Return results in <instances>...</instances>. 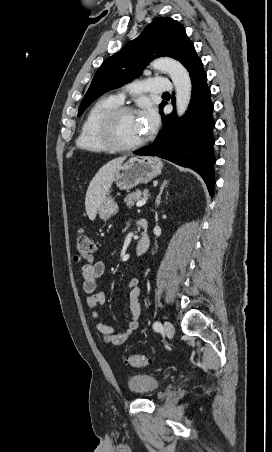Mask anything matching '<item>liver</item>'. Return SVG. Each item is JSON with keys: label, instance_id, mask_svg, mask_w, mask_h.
Instances as JSON below:
<instances>
[{"label": "liver", "instance_id": "liver-1", "mask_svg": "<svg viewBox=\"0 0 272 452\" xmlns=\"http://www.w3.org/2000/svg\"><path fill=\"white\" fill-rule=\"evenodd\" d=\"M127 156L111 160L99 169L90 182L85 198V209L90 220L96 218L97 210L108 194L119 166Z\"/></svg>", "mask_w": 272, "mask_h": 452}]
</instances>
